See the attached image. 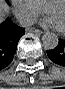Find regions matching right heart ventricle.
Returning <instances> with one entry per match:
<instances>
[{"mask_svg": "<svg viewBox=\"0 0 65 89\" xmlns=\"http://www.w3.org/2000/svg\"><path fill=\"white\" fill-rule=\"evenodd\" d=\"M42 7H44L48 2L52 0H36Z\"/></svg>", "mask_w": 65, "mask_h": 89, "instance_id": "e07e8e85", "label": "right heart ventricle"}]
</instances>
